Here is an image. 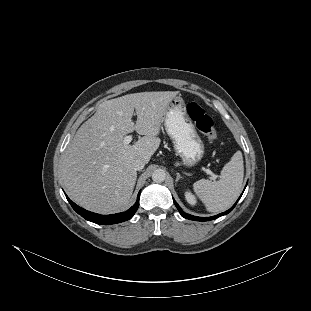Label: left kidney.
Listing matches in <instances>:
<instances>
[{"label": "left kidney", "mask_w": 311, "mask_h": 311, "mask_svg": "<svg viewBox=\"0 0 311 311\" xmlns=\"http://www.w3.org/2000/svg\"><path fill=\"white\" fill-rule=\"evenodd\" d=\"M184 195H185L186 201L190 205L194 206L197 203L195 196L190 191H186Z\"/></svg>", "instance_id": "obj_1"}]
</instances>
